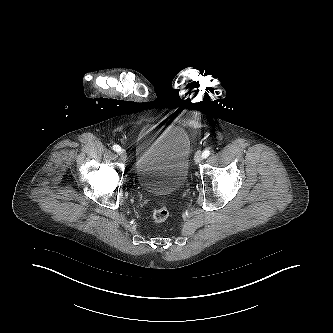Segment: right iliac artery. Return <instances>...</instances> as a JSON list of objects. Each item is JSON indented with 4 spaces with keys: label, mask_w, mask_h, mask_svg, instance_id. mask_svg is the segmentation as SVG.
Here are the masks:
<instances>
[{
    "label": "right iliac artery",
    "mask_w": 333,
    "mask_h": 333,
    "mask_svg": "<svg viewBox=\"0 0 333 333\" xmlns=\"http://www.w3.org/2000/svg\"><path fill=\"white\" fill-rule=\"evenodd\" d=\"M113 150L116 152H119L121 150V147L117 144L113 145Z\"/></svg>",
    "instance_id": "obj_1"
}]
</instances>
